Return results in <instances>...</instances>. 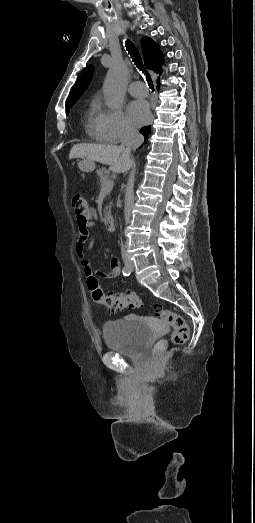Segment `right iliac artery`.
<instances>
[{
  "instance_id": "right-iliac-artery-1",
  "label": "right iliac artery",
  "mask_w": 255,
  "mask_h": 523,
  "mask_svg": "<svg viewBox=\"0 0 255 523\" xmlns=\"http://www.w3.org/2000/svg\"><path fill=\"white\" fill-rule=\"evenodd\" d=\"M122 273L124 276H129L130 275L129 268L127 266L123 267Z\"/></svg>"
}]
</instances>
